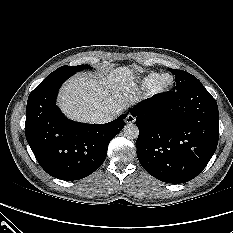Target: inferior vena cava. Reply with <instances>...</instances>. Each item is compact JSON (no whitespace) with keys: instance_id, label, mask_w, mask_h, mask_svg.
Wrapping results in <instances>:
<instances>
[{"instance_id":"1","label":"inferior vena cava","mask_w":233,"mask_h":233,"mask_svg":"<svg viewBox=\"0 0 233 233\" xmlns=\"http://www.w3.org/2000/svg\"><path fill=\"white\" fill-rule=\"evenodd\" d=\"M114 119L113 115L110 114H104V113H97L94 114L91 118V121L93 123H97V124H102V123H107L110 122Z\"/></svg>"}]
</instances>
